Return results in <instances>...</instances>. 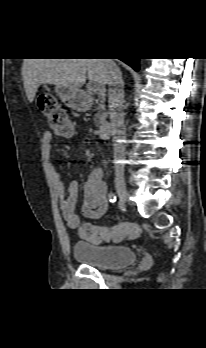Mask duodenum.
Segmentation results:
<instances>
[{
  "instance_id": "410a0bca",
  "label": "duodenum",
  "mask_w": 206,
  "mask_h": 348,
  "mask_svg": "<svg viewBox=\"0 0 206 348\" xmlns=\"http://www.w3.org/2000/svg\"><path fill=\"white\" fill-rule=\"evenodd\" d=\"M113 134V126L109 122H103L100 130H99V136L102 138H109Z\"/></svg>"
}]
</instances>
